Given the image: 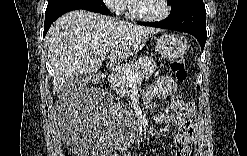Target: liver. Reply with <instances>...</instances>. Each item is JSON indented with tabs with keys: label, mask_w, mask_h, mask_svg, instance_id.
Listing matches in <instances>:
<instances>
[{
	"label": "liver",
	"mask_w": 247,
	"mask_h": 156,
	"mask_svg": "<svg viewBox=\"0 0 247 156\" xmlns=\"http://www.w3.org/2000/svg\"><path fill=\"white\" fill-rule=\"evenodd\" d=\"M158 31L86 10L66 13L45 37L54 93L75 76L97 72L105 58L116 62L138 53Z\"/></svg>",
	"instance_id": "6515ba94"
}]
</instances>
